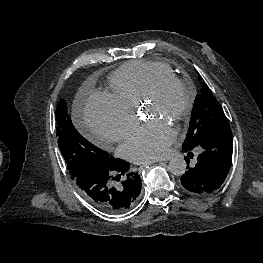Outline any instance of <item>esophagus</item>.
Segmentation results:
<instances>
[{
  "mask_svg": "<svg viewBox=\"0 0 263 263\" xmlns=\"http://www.w3.org/2000/svg\"><path fill=\"white\" fill-rule=\"evenodd\" d=\"M152 163H154V162H147V163H144V164H142V165L140 166V168H144L145 166L150 165V164H152Z\"/></svg>",
  "mask_w": 263,
  "mask_h": 263,
  "instance_id": "esophagus-1",
  "label": "esophagus"
}]
</instances>
